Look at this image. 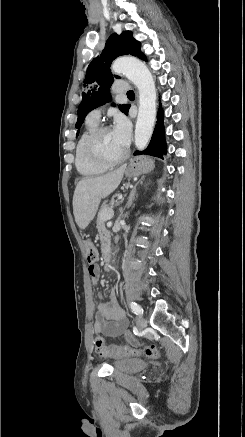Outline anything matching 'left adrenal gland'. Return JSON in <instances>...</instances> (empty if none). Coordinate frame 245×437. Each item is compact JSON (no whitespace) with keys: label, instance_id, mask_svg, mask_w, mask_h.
I'll return each mask as SVG.
<instances>
[{"label":"left adrenal gland","instance_id":"obj_1","mask_svg":"<svg viewBox=\"0 0 245 437\" xmlns=\"http://www.w3.org/2000/svg\"><path fill=\"white\" fill-rule=\"evenodd\" d=\"M143 178H144V177H142V178H141V179L136 183V185L133 187V189H132V191H131V193H130V195H129V198H128V201H127V204H126V207H127V208H130V207L132 206V203H133V201L135 200L137 186H138L139 184H142V183H143Z\"/></svg>","mask_w":245,"mask_h":437}]
</instances>
